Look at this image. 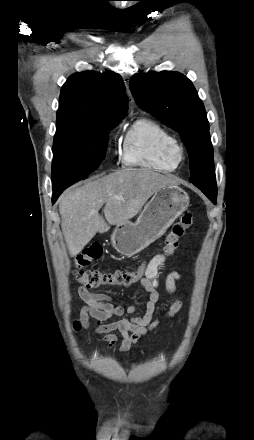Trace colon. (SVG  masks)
Listing matches in <instances>:
<instances>
[{"label":"colon","mask_w":254,"mask_h":440,"mask_svg":"<svg viewBox=\"0 0 254 440\" xmlns=\"http://www.w3.org/2000/svg\"><path fill=\"white\" fill-rule=\"evenodd\" d=\"M193 216L190 212L181 215L179 221L174 224L170 233L167 235L163 246V255H171L179 246L180 238L184 231L192 226ZM103 254L100 244H92L82 250L75 258V276L77 281L86 288H98L100 286H129L141 279L145 272L144 264L131 269L100 270L85 269L95 261L99 260ZM79 328V324H76Z\"/></svg>","instance_id":"5ec220e1"}]
</instances>
